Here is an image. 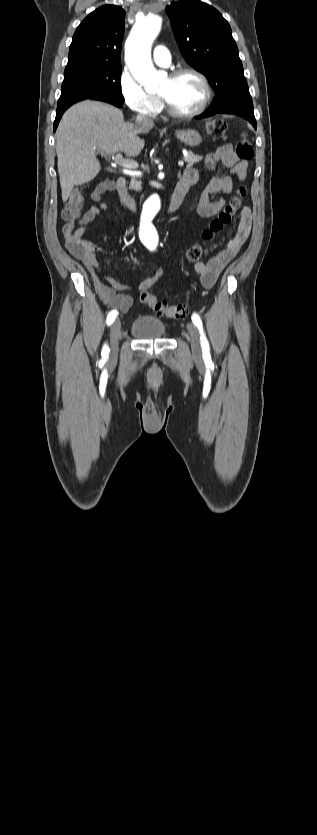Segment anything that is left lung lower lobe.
<instances>
[{
	"instance_id": "0a47b994",
	"label": "left lung lower lobe",
	"mask_w": 317,
	"mask_h": 835,
	"mask_svg": "<svg viewBox=\"0 0 317 835\" xmlns=\"http://www.w3.org/2000/svg\"><path fill=\"white\" fill-rule=\"evenodd\" d=\"M217 113L234 114V115L241 116V117L247 119L253 125V127L255 129L257 128L256 119H255V116H254V113H253V108H250V107H247V106H244V105H241V104H230V105L222 107V108L210 107V109L206 113H203V114L197 116L196 119H202V118L210 117V116L215 115Z\"/></svg>"
}]
</instances>
